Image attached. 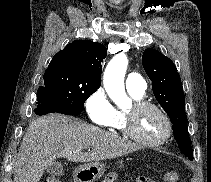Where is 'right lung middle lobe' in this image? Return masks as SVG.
<instances>
[{
  "instance_id": "obj_1",
  "label": "right lung middle lobe",
  "mask_w": 211,
  "mask_h": 182,
  "mask_svg": "<svg viewBox=\"0 0 211 182\" xmlns=\"http://www.w3.org/2000/svg\"><path fill=\"white\" fill-rule=\"evenodd\" d=\"M43 78L44 85L38 88L37 98H52L77 114L83 111L86 99L100 87L59 68H48Z\"/></svg>"
}]
</instances>
